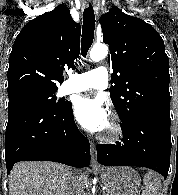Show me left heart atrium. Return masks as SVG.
Here are the masks:
<instances>
[{"instance_id": "left-heart-atrium-1", "label": "left heart atrium", "mask_w": 178, "mask_h": 195, "mask_svg": "<svg viewBox=\"0 0 178 195\" xmlns=\"http://www.w3.org/2000/svg\"><path fill=\"white\" fill-rule=\"evenodd\" d=\"M74 114L79 124L91 132H101L109 120L103 101L89 96H81L75 100Z\"/></svg>"}]
</instances>
